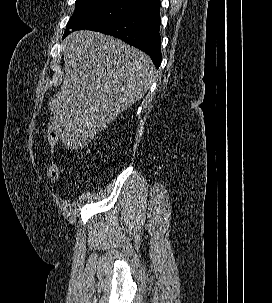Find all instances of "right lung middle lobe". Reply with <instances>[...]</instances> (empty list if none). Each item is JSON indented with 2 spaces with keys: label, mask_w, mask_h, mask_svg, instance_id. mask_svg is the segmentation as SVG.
I'll return each mask as SVG.
<instances>
[{
  "label": "right lung middle lobe",
  "mask_w": 272,
  "mask_h": 303,
  "mask_svg": "<svg viewBox=\"0 0 272 303\" xmlns=\"http://www.w3.org/2000/svg\"><path fill=\"white\" fill-rule=\"evenodd\" d=\"M75 5V12L67 23L64 37L70 30L90 29L140 10L136 4L124 0H76Z\"/></svg>",
  "instance_id": "right-lung-middle-lobe-1"
}]
</instances>
